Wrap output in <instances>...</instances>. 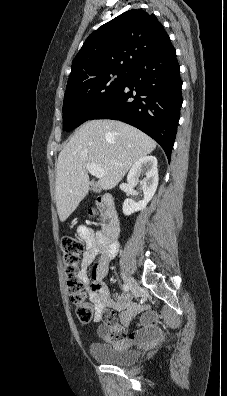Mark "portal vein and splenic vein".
I'll list each match as a JSON object with an SVG mask.
<instances>
[{
	"label": "portal vein and splenic vein",
	"mask_w": 227,
	"mask_h": 396,
	"mask_svg": "<svg viewBox=\"0 0 227 396\" xmlns=\"http://www.w3.org/2000/svg\"><path fill=\"white\" fill-rule=\"evenodd\" d=\"M87 170L89 171L90 174H92L93 176H95L97 178H102L104 176V170L101 169L96 164H93V163L88 164Z\"/></svg>",
	"instance_id": "obj_1"
}]
</instances>
